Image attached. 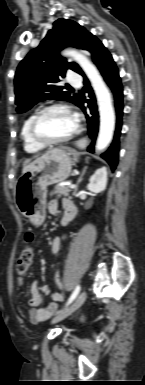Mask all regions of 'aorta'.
Listing matches in <instances>:
<instances>
[{
  "label": "aorta",
  "mask_w": 145,
  "mask_h": 385,
  "mask_svg": "<svg viewBox=\"0 0 145 385\" xmlns=\"http://www.w3.org/2000/svg\"><path fill=\"white\" fill-rule=\"evenodd\" d=\"M64 56L72 57L83 69L89 78L97 97L100 113V129L96 143V150H104L112 140L115 127V113L112 106L110 92L104 83L97 68L89 59L75 49H67L63 52Z\"/></svg>",
  "instance_id": "762f6f07"
}]
</instances>
